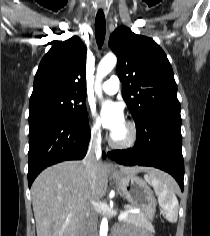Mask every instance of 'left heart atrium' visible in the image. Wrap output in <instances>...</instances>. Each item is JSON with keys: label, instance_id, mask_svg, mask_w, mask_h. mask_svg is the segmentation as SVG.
<instances>
[{"label": "left heart atrium", "instance_id": "obj_1", "mask_svg": "<svg viewBox=\"0 0 210 236\" xmlns=\"http://www.w3.org/2000/svg\"><path fill=\"white\" fill-rule=\"evenodd\" d=\"M99 113L103 125L111 131V134L119 130L125 124L123 109L114 102L105 101L102 103Z\"/></svg>", "mask_w": 210, "mask_h": 236}]
</instances>
